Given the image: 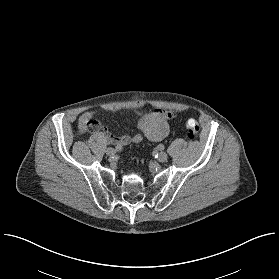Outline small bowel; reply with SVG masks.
I'll return each mask as SVG.
<instances>
[{
	"mask_svg": "<svg viewBox=\"0 0 279 279\" xmlns=\"http://www.w3.org/2000/svg\"><path fill=\"white\" fill-rule=\"evenodd\" d=\"M106 110L113 112L114 109L107 107ZM97 114L96 111L88 110L81 114L79 117V128L84 130L87 126L91 131L102 130L107 140L115 146H125L131 143H139L142 141L143 136L151 141H162L165 139L170 131V121L176 115L169 110H156L142 116L139 119L138 125L142 132L133 135H123L117 137L113 135L107 128L103 127L99 122L93 121V117Z\"/></svg>",
	"mask_w": 279,
	"mask_h": 279,
	"instance_id": "small-bowel-1",
	"label": "small bowel"
}]
</instances>
